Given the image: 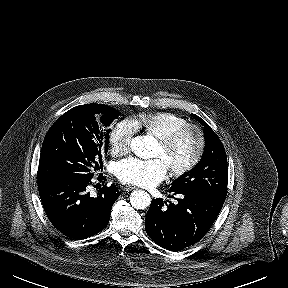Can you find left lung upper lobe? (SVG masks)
I'll return each mask as SVG.
<instances>
[{
  "label": "left lung upper lobe",
  "instance_id": "1",
  "mask_svg": "<svg viewBox=\"0 0 288 288\" xmlns=\"http://www.w3.org/2000/svg\"><path fill=\"white\" fill-rule=\"evenodd\" d=\"M204 126L205 149L200 162L171 183L170 191L208 195L224 202L227 193L228 167L224 146L210 126L191 114Z\"/></svg>",
  "mask_w": 288,
  "mask_h": 288
}]
</instances>
